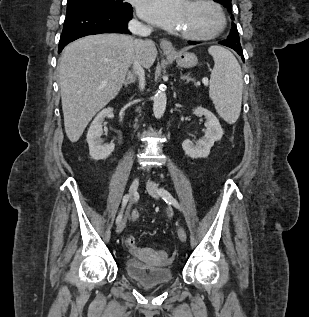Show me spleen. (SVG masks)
Here are the masks:
<instances>
[{
    "label": "spleen",
    "mask_w": 309,
    "mask_h": 317,
    "mask_svg": "<svg viewBox=\"0 0 309 317\" xmlns=\"http://www.w3.org/2000/svg\"><path fill=\"white\" fill-rule=\"evenodd\" d=\"M208 52L214 59L209 97L218 114L227 123L233 124L241 111L243 91L241 67L235 56L224 47L211 46Z\"/></svg>",
    "instance_id": "3e777b00"
}]
</instances>
